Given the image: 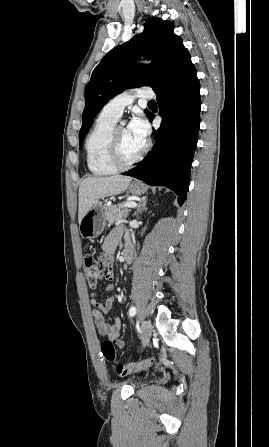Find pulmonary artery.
Wrapping results in <instances>:
<instances>
[{"mask_svg": "<svg viewBox=\"0 0 269 447\" xmlns=\"http://www.w3.org/2000/svg\"><path fill=\"white\" fill-rule=\"evenodd\" d=\"M154 93L151 90L145 91L142 88L125 91L113 97L103 108L107 115L118 119L124 109L130 106L137 98H153Z\"/></svg>", "mask_w": 269, "mask_h": 447, "instance_id": "1", "label": "pulmonary artery"}]
</instances>
